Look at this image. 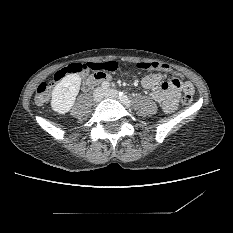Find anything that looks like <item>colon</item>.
<instances>
[{
  "mask_svg": "<svg viewBox=\"0 0 233 233\" xmlns=\"http://www.w3.org/2000/svg\"><path fill=\"white\" fill-rule=\"evenodd\" d=\"M137 68L142 70H154V71H169L168 65L161 61H152V62H139L137 63ZM96 69H104V65H95ZM83 70V65L80 63H72L67 65L64 68L56 71L48 82H42L38 85L36 93L34 96L35 102L39 105L44 104L50 95V89L55 84L60 82L69 74H78ZM113 71V70H107ZM192 103V96L189 93H185L182 97V104L184 106H189Z\"/></svg>",
  "mask_w": 233,
  "mask_h": 233,
  "instance_id": "colon-1",
  "label": "colon"
}]
</instances>
